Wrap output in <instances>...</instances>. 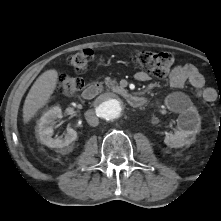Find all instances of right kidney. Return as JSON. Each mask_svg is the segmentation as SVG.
<instances>
[{"label":"right kidney","mask_w":221,"mask_h":221,"mask_svg":"<svg viewBox=\"0 0 221 221\" xmlns=\"http://www.w3.org/2000/svg\"><path fill=\"white\" fill-rule=\"evenodd\" d=\"M59 118H62L61 108L54 106L44 113L37 124L36 132L41 143L50 148H63L77 139V132L72 128L67 129L63 138H52L53 125L55 120Z\"/></svg>","instance_id":"1"}]
</instances>
